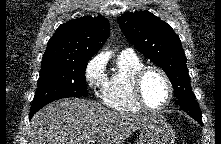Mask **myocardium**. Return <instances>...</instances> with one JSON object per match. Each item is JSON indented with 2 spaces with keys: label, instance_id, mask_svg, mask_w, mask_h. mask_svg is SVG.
Masks as SVG:
<instances>
[{
  "label": "myocardium",
  "instance_id": "obj_1",
  "mask_svg": "<svg viewBox=\"0 0 221 144\" xmlns=\"http://www.w3.org/2000/svg\"><path fill=\"white\" fill-rule=\"evenodd\" d=\"M152 71L159 73L163 77V79L165 80L167 87H168V97H167L165 103L157 108L150 107L146 103V101L144 99V95H143L144 79L147 76V74ZM132 91H133V97H134L136 103L138 104V106L141 109L148 111V112H161V111H163L164 109H166L170 105V103L172 102V99H173V95H174V88H173V84H172L170 77L162 68H160L158 66H154V65H144L134 73L133 79H132Z\"/></svg>",
  "mask_w": 221,
  "mask_h": 144
}]
</instances>
